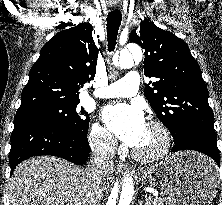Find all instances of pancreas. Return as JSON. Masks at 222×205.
Returning a JSON list of instances; mask_svg holds the SVG:
<instances>
[{
	"label": "pancreas",
	"mask_w": 222,
	"mask_h": 205,
	"mask_svg": "<svg viewBox=\"0 0 222 205\" xmlns=\"http://www.w3.org/2000/svg\"><path fill=\"white\" fill-rule=\"evenodd\" d=\"M146 205H164V202L159 197L148 196L146 197Z\"/></svg>",
	"instance_id": "pancreas-1"
}]
</instances>
